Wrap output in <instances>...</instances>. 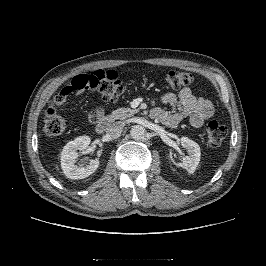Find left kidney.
<instances>
[{"instance_id": "left-kidney-1", "label": "left kidney", "mask_w": 266, "mask_h": 266, "mask_svg": "<svg viewBox=\"0 0 266 266\" xmlns=\"http://www.w3.org/2000/svg\"><path fill=\"white\" fill-rule=\"evenodd\" d=\"M180 143L187 150L188 156L183 157L182 163L176 165L184 168L188 173L193 174L200 162V147L196 142L187 137H182Z\"/></svg>"}]
</instances>
